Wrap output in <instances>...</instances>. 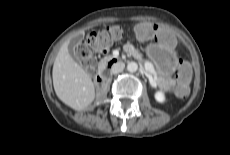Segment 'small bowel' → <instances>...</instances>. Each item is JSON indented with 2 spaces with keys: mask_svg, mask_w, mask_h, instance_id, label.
Returning <instances> with one entry per match:
<instances>
[{
  "mask_svg": "<svg viewBox=\"0 0 230 155\" xmlns=\"http://www.w3.org/2000/svg\"><path fill=\"white\" fill-rule=\"evenodd\" d=\"M134 35L139 38L142 46L148 47L154 43L155 37L163 48L169 49L179 43V37L173 35L161 22H140L134 26Z\"/></svg>",
  "mask_w": 230,
  "mask_h": 155,
  "instance_id": "small-bowel-1",
  "label": "small bowel"
}]
</instances>
